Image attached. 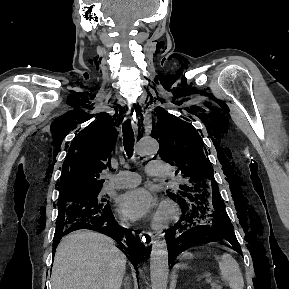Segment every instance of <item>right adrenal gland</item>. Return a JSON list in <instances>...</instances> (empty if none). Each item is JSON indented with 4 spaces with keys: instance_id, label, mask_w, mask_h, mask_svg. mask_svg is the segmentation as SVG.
<instances>
[{
    "instance_id": "obj_1",
    "label": "right adrenal gland",
    "mask_w": 289,
    "mask_h": 289,
    "mask_svg": "<svg viewBox=\"0 0 289 289\" xmlns=\"http://www.w3.org/2000/svg\"><path fill=\"white\" fill-rule=\"evenodd\" d=\"M124 286H125V289H130V288H129L128 277L125 278Z\"/></svg>"
}]
</instances>
